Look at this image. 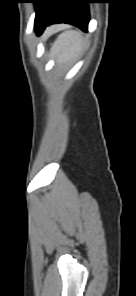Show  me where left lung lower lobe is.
I'll list each match as a JSON object with an SVG mask.
<instances>
[{
	"mask_svg": "<svg viewBox=\"0 0 136 296\" xmlns=\"http://www.w3.org/2000/svg\"><path fill=\"white\" fill-rule=\"evenodd\" d=\"M93 0H54L52 7L44 19L35 22L34 28L40 35L46 26L56 23H67L88 31V3Z\"/></svg>",
	"mask_w": 136,
	"mask_h": 296,
	"instance_id": "1",
	"label": "left lung lower lobe"
}]
</instances>
